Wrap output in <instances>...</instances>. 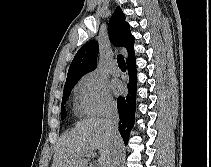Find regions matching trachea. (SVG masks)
<instances>
[{
    "label": "trachea",
    "instance_id": "1",
    "mask_svg": "<svg viewBox=\"0 0 211 167\" xmlns=\"http://www.w3.org/2000/svg\"><path fill=\"white\" fill-rule=\"evenodd\" d=\"M117 62H118L119 68L126 69V63H125L123 55H118L117 56Z\"/></svg>",
    "mask_w": 211,
    "mask_h": 167
}]
</instances>
